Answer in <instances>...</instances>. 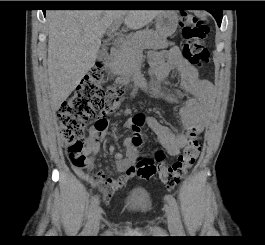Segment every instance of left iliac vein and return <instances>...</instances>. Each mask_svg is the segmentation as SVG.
<instances>
[{
    "label": "left iliac vein",
    "mask_w": 265,
    "mask_h": 245,
    "mask_svg": "<svg viewBox=\"0 0 265 245\" xmlns=\"http://www.w3.org/2000/svg\"><path fill=\"white\" fill-rule=\"evenodd\" d=\"M165 211H166L169 231L172 234H176V232H177V221H176L174 212L172 211L171 207H169V206H166Z\"/></svg>",
    "instance_id": "1"
}]
</instances>
